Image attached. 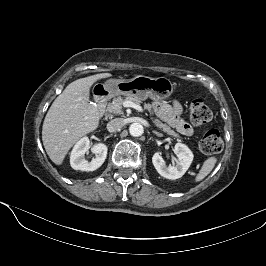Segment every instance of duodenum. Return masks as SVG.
<instances>
[{
    "label": "duodenum",
    "instance_id": "duodenum-1",
    "mask_svg": "<svg viewBox=\"0 0 266 266\" xmlns=\"http://www.w3.org/2000/svg\"><path fill=\"white\" fill-rule=\"evenodd\" d=\"M109 92L106 89H99L94 95V100L97 104L98 113L101 115L104 112Z\"/></svg>",
    "mask_w": 266,
    "mask_h": 266
}]
</instances>
